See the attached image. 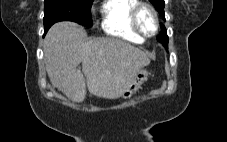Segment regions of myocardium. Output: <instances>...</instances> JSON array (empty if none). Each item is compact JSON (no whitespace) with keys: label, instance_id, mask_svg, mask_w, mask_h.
<instances>
[{"label":"myocardium","instance_id":"obj_1","mask_svg":"<svg viewBox=\"0 0 227 142\" xmlns=\"http://www.w3.org/2000/svg\"><path fill=\"white\" fill-rule=\"evenodd\" d=\"M144 10L149 11L152 14V17L154 19L155 29H154L153 33H151V34H147L142 29L141 24H140V14ZM131 23H132L133 29L143 38H151V37L155 36L159 31L158 13H157L156 9L148 3L140 2L133 8V10L131 12Z\"/></svg>","mask_w":227,"mask_h":142}]
</instances>
